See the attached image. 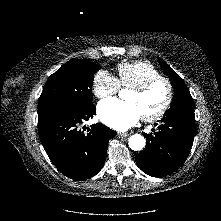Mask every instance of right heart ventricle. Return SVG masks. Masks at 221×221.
<instances>
[{
    "label": "right heart ventricle",
    "instance_id": "right-heart-ventricle-1",
    "mask_svg": "<svg viewBox=\"0 0 221 221\" xmlns=\"http://www.w3.org/2000/svg\"><path fill=\"white\" fill-rule=\"evenodd\" d=\"M117 79L121 86L132 88L145 81L160 77L156 67L147 61L122 62L116 66Z\"/></svg>",
    "mask_w": 221,
    "mask_h": 221
}]
</instances>
